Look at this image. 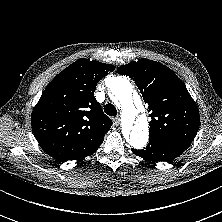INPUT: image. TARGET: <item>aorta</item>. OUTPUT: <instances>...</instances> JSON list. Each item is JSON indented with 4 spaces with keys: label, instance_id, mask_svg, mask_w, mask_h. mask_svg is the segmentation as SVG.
I'll use <instances>...</instances> for the list:
<instances>
[{
    "label": "aorta",
    "instance_id": "aorta-1",
    "mask_svg": "<svg viewBox=\"0 0 222 222\" xmlns=\"http://www.w3.org/2000/svg\"><path fill=\"white\" fill-rule=\"evenodd\" d=\"M110 93L122 110L125 139L136 149L144 148L149 137L148 121L141 102L133 103L132 84L125 78L115 77L110 85Z\"/></svg>",
    "mask_w": 222,
    "mask_h": 222
}]
</instances>
